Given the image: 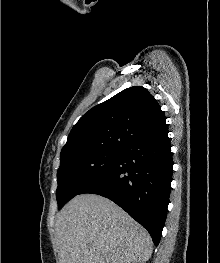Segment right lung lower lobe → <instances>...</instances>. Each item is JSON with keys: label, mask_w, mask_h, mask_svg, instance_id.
I'll return each mask as SVG.
<instances>
[{"label": "right lung lower lobe", "mask_w": 220, "mask_h": 263, "mask_svg": "<svg viewBox=\"0 0 220 263\" xmlns=\"http://www.w3.org/2000/svg\"><path fill=\"white\" fill-rule=\"evenodd\" d=\"M172 166L168 132L158 138L138 139L79 194H98L112 200L148 230L157 246L167 215Z\"/></svg>", "instance_id": "1"}]
</instances>
